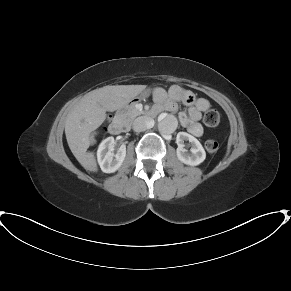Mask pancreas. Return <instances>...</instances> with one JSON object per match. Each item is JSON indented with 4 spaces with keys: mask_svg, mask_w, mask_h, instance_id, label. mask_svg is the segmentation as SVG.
Masks as SVG:
<instances>
[{
    "mask_svg": "<svg viewBox=\"0 0 291 291\" xmlns=\"http://www.w3.org/2000/svg\"><path fill=\"white\" fill-rule=\"evenodd\" d=\"M141 114H144V112L137 109L135 104H130L119 112V116L124 123H131Z\"/></svg>",
    "mask_w": 291,
    "mask_h": 291,
    "instance_id": "cf45deb5",
    "label": "pancreas"
}]
</instances>
